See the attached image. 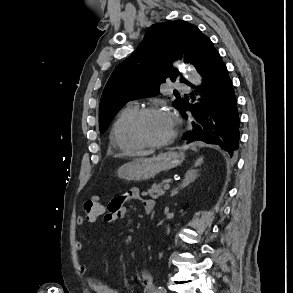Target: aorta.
Masks as SVG:
<instances>
[{"instance_id": "1", "label": "aorta", "mask_w": 293, "mask_h": 293, "mask_svg": "<svg viewBox=\"0 0 293 293\" xmlns=\"http://www.w3.org/2000/svg\"><path fill=\"white\" fill-rule=\"evenodd\" d=\"M184 76L193 85L198 86L201 84V77L194 68H187L184 71Z\"/></svg>"}]
</instances>
